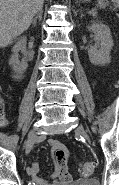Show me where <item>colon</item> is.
Here are the masks:
<instances>
[{"instance_id":"5ec220e1","label":"colon","mask_w":119,"mask_h":185,"mask_svg":"<svg viewBox=\"0 0 119 185\" xmlns=\"http://www.w3.org/2000/svg\"><path fill=\"white\" fill-rule=\"evenodd\" d=\"M0 123L2 125L6 124V119L2 113H0ZM94 171V164L90 161L84 162L79 166V173L83 177L91 175Z\"/></svg>"}]
</instances>
